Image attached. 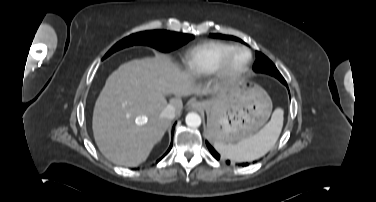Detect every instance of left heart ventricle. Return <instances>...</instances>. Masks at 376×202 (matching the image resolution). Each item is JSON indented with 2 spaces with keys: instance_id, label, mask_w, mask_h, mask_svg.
<instances>
[{
  "instance_id": "obj_1",
  "label": "left heart ventricle",
  "mask_w": 376,
  "mask_h": 202,
  "mask_svg": "<svg viewBox=\"0 0 376 202\" xmlns=\"http://www.w3.org/2000/svg\"><path fill=\"white\" fill-rule=\"evenodd\" d=\"M247 59L246 54L241 53L235 56V58L231 62V67L232 68H238L240 67Z\"/></svg>"
}]
</instances>
